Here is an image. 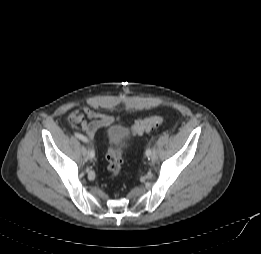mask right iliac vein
I'll use <instances>...</instances> for the list:
<instances>
[{
    "mask_svg": "<svg viewBox=\"0 0 261 254\" xmlns=\"http://www.w3.org/2000/svg\"><path fill=\"white\" fill-rule=\"evenodd\" d=\"M82 153H83V155L86 154V148H85V147H82ZM91 158H92V157H91Z\"/></svg>",
    "mask_w": 261,
    "mask_h": 254,
    "instance_id": "obj_1",
    "label": "right iliac vein"
}]
</instances>
